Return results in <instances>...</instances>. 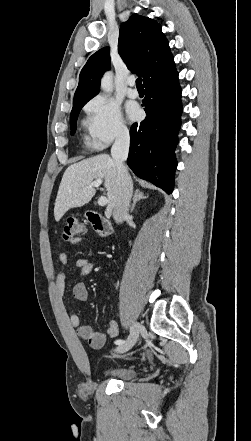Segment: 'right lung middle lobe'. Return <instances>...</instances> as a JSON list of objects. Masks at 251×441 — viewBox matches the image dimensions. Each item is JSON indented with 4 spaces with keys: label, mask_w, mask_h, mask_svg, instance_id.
<instances>
[{
    "label": "right lung middle lobe",
    "mask_w": 251,
    "mask_h": 441,
    "mask_svg": "<svg viewBox=\"0 0 251 441\" xmlns=\"http://www.w3.org/2000/svg\"><path fill=\"white\" fill-rule=\"evenodd\" d=\"M90 99H81L77 101H73V109L70 115V129L71 134L73 135L76 131L77 118L82 107L89 101Z\"/></svg>",
    "instance_id": "right-lung-middle-lobe-1"
}]
</instances>
